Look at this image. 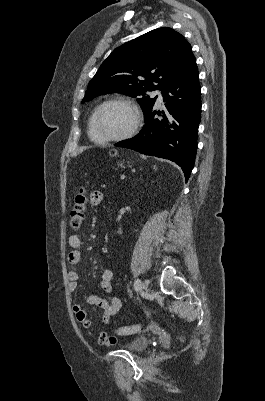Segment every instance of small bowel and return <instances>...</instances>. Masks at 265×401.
<instances>
[{
    "label": "small bowel",
    "mask_w": 265,
    "mask_h": 401,
    "mask_svg": "<svg viewBox=\"0 0 265 401\" xmlns=\"http://www.w3.org/2000/svg\"><path fill=\"white\" fill-rule=\"evenodd\" d=\"M103 199V195L99 191H94L90 195V204L92 206H98ZM68 244L71 248V251L68 254L67 260L72 265H77L80 263L82 259L81 253V245L82 240L79 235L73 234L68 238ZM69 279V290L74 291L77 287V282L79 279V274L76 270H71L68 273ZM112 280H113V272L110 269H105L102 271L99 286L100 289L109 294L112 292ZM86 304L89 306H95L102 311V321L105 324H109L111 322V318L117 314V312L121 308V301L118 298H112L111 300H106L97 295H91L87 298ZM74 313L76 315L77 320L86 328H92V322L88 316L87 311L85 310L84 305L76 304L73 307ZM98 342L101 345L111 346L117 342V338L112 335H108L105 332H101L98 335Z\"/></svg>",
    "instance_id": "obj_1"
}]
</instances>
